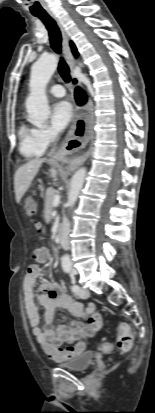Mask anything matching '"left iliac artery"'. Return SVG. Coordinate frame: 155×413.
Here are the masks:
<instances>
[{
	"mask_svg": "<svg viewBox=\"0 0 155 413\" xmlns=\"http://www.w3.org/2000/svg\"><path fill=\"white\" fill-rule=\"evenodd\" d=\"M69 274H70L71 277H74L75 272H74V271H69ZM79 289H80V288H79V286H78L77 284H74V285L72 286V291H73L74 293H78Z\"/></svg>",
	"mask_w": 155,
	"mask_h": 413,
	"instance_id": "44dca946",
	"label": "left iliac artery"
}]
</instances>
